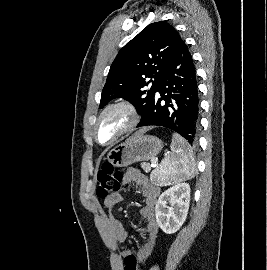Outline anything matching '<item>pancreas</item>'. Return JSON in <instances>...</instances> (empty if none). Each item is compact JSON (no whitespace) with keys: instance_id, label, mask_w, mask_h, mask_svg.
Here are the masks:
<instances>
[{"instance_id":"cf45deb5","label":"pancreas","mask_w":267,"mask_h":270,"mask_svg":"<svg viewBox=\"0 0 267 270\" xmlns=\"http://www.w3.org/2000/svg\"><path fill=\"white\" fill-rule=\"evenodd\" d=\"M141 167L145 172H150L151 170V167L145 162L141 163ZM156 171L157 169L151 172L150 179L153 183L158 184L160 178L158 179Z\"/></svg>"}]
</instances>
